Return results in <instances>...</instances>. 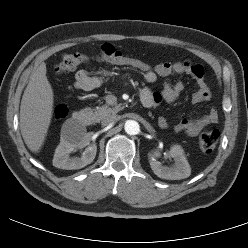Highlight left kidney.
<instances>
[{"instance_id": "1", "label": "left kidney", "mask_w": 248, "mask_h": 248, "mask_svg": "<svg viewBox=\"0 0 248 248\" xmlns=\"http://www.w3.org/2000/svg\"><path fill=\"white\" fill-rule=\"evenodd\" d=\"M169 155L174 159L175 163L171 167L163 166L156 158L160 156L158 150H154L149 154L150 166L153 172L162 179L180 180L188 178L191 174L190 165L184 155L181 146L174 145L169 151Z\"/></svg>"}]
</instances>
